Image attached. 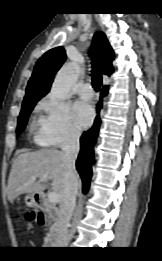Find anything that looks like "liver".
Listing matches in <instances>:
<instances>
[{
	"instance_id": "obj_1",
	"label": "liver",
	"mask_w": 162,
	"mask_h": 261,
	"mask_svg": "<svg viewBox=\"0 0 162 261\" xmlns=\"http://www.w3.org/2000/svg\"><path fill=\"white\" fill-rule=\"evenodd\" d=\"M32 177H46L52 181L53 192L61 201L66 182V163L63 151L57 149H40L25 151L17 156L10 171L7 197L12 203L20 194H41L46 185L41 181H32ZM79 186V177L76 173Z\"/></svg>"
}]
</instances>
